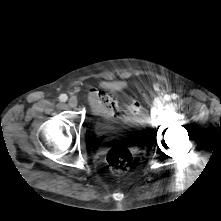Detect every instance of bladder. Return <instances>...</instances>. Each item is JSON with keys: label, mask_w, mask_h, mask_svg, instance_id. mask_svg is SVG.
<instances>
[{"label": "bladder", "mask_w": 221, "mask_h": 221, "mask_svg": "<svg viewBox=\"0 0 221 221\" xmlns=\"http://www.w3.org/2000/svg\"><path fill=\"white\" fill-rule=\"evenodd\" d=\"M94 129L101 136H120L132 132H142L144 123L140 117L135 114L132 119L123 121L117 118H105L103 120H94Z\"/></svg>", "instance_id": "obj_1"}]
</instances>
